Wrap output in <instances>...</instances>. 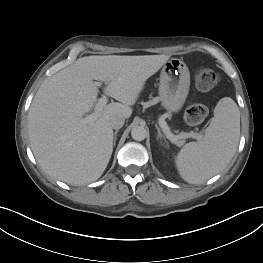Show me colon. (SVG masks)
<instances>
[{
  "label": "colon",
  "mask_w": 263,
  "mask_h": 263,
  "mask_svg": "<svg viewBox=\"0 0 263 263\" xmlns=\"http://www.w3.org/2000/svg\"><path fill=\"white\" fill-rule=\"evenodd\" d=\"M218 82V74L208 68H200L195 73V84L199 90L208 91L212 89ZM207 108L198 103L191 104L185 111V121L191 125L196 126L201 124L206 116Z\"/></svg>",
  "instance_id": "5ec220e1"
}]
</instances>
